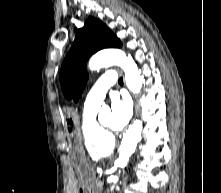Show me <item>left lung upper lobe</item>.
Instances as JSON below:
<instances>
[{
  "label": "left lung upper lobe",
  "mask_w": 221,
  "mask_h": 193,
  "mask_svg": "<svg viewBox=\"0 0 221 193\" xmlns=\"http://www.w3.org/2000/svg\"><path fill=\"white\" fill-rule=\"evenodd\" d=\"M121 41L100 20L93 17L85 21L76 33L75 41L66 55L60 72L64 95L77 101L86 86L88 74L86 62L93 53L104 48H119Z\"/></svg>",
  "instance_id": "5c2ea615"
}]
</instances>
